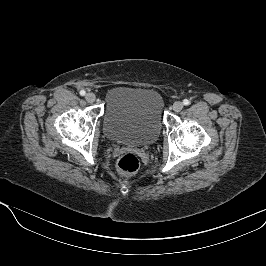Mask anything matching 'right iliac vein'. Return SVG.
<instances>
[{
  "instance_id": "right-iliac-vein-1",
  "label": "right iliac vein",
  "mask_w": 266,
  "mask_h": 266,
  "mask_svg": "<svg viewBox=\"0 0 266 266\" xmlns=\"http://www.w3.org/2000/svg\"><path fill=\"white\" fill-rule=\"evenodd\" d=\"M85 99L88 103H93L96 99V96L93 93H87Z\"/></svg>"
}]
</instances>
